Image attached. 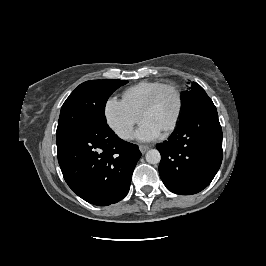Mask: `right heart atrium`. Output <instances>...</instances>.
Segmentation results:
<instances>
[{
  "label": "right heart atrium",
  "instance_id": "d8ad5b80",
  "mask_svg": "<svg viewBox=\"0 0 266 266\" xmlns=\"http://www.w3.org/2000/svg\"><path fill=\"white\" fill-rule=\"evenodd\" d=\"M104 116L109 127L122 139L128 140L133 135L134 126L140 114L134 111L124 100L110 97L104 105Z\"/></svg>",
  "mask_w": 266,
  "mask_h": 266
}]
</instances>
